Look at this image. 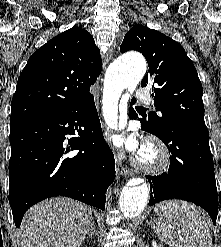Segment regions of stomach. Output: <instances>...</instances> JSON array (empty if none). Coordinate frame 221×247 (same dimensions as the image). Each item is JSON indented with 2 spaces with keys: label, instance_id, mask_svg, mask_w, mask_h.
<instances>
[{
  "label": "stomach",
  "instance_id": "1",
  "mask_svg": "<svg viewBox=\"0 0 221 247\" xmlns=\"http://www.w3.org/2000/svg\"><path fill=\"white\" fill-rule=\"evenodd\" d=\"M173 202H175V201H173ZM163 203H164V202H163ZM163 203H161V204H159V205L156 206V208H155V213H156L157 215H162V214H163V211H162V209H161V205H162Z\"/></svg>",
  "mask_w": 221,
  "mask_h": 247
}]
</instances>
